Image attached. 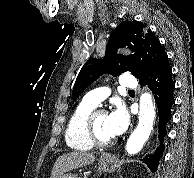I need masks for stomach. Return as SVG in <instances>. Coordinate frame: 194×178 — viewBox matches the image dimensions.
I'll list each match as a JSON object with an SVG mask.
<instances>
[{
  "mask_svg": "<svg viewBox=\"0 0 194 178\" xmlns=\"http://www.w3.org/2000/svg\"><path fill=\"white\" fill-rule=\"evenodd\" d=\"M118 166V159L111 154H102L98 160L99 171L112 173ZM59 178H77L76 175L67 173L62 174Z\"/></svg>",
  "mask_w": 194,
  "mask_h": 178,
  "instance_id": "obj_1",
  "label": "stomach"
}]
</instances>
